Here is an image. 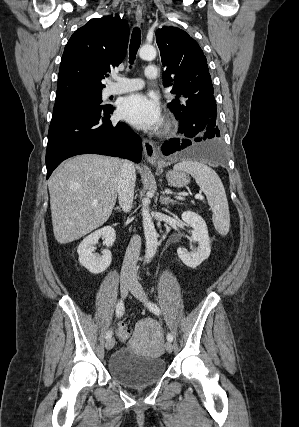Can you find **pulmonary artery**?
Wrapping results in <instances>:
<instances>
[{
  "label": "pulmonary artery",
  "mask_w": 299,
  "mask_h": 427,
  "mask_svg": "<svg viewBox=\"0 0 299 427\" xmlns=\"http://www.w3.org/2000/svg\"><path fill=\"white\" fill-rule=\"evenodd\" d=\"M144 76L148 80H155L158 77V70L155 66H147L144 72ZM116 80L109 89V95L122 94L139 90L143 87L144 83L141 78H127L123 76L114 77Z\"/></svg>",
  "instance_id": "e3ab8cb5"
}]
</instances>
